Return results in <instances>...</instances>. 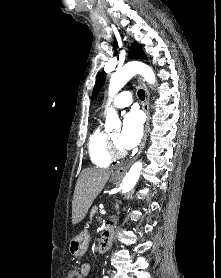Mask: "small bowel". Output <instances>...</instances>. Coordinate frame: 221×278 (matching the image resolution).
Listing matches in <instances>:
<instances>
[{"mask_svg": "<svg viewBox=\"0 0 221 278\" xmlns=\"http://www.w3.org/2000/svg\"><path fill=\"white\" fill-rule=\"evenodd\" d=\"M80 270L83 274V277H87V276H89V274L91 272V267L89 264L85 263L81 266Z\"/></svg>", "mask_w": 221, "mask_h": 278, "instance_id": "1", "label": "small bowel"}]
</instances>
